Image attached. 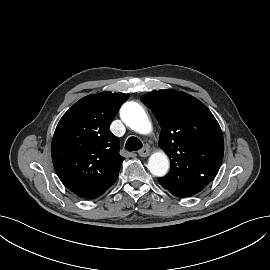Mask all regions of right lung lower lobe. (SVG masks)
Returning <instances> with one entry per match:
<instances>
[{
  "label": "right lung lower lobe",
  "mask_w": 270,
  "mask_h": 270,
  "mask_svg": "<svg viewBox=\"0 0 270 270\" xmlns=\"http://www.w3.org/2000/svg\"><path fill=\"white\" fill-rule=\"evenodd\" d=\"M104 193V192H103ZM103 193H101V194H103ZM101 194H98V195H95V196H91V197H88V198H96V197H98V196H100Z\"/></svg>",
  "instance_id": "obj_1"
}]
</instances>
